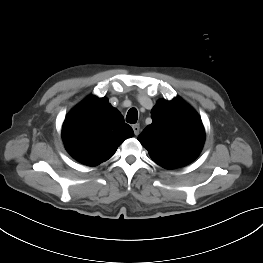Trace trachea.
Here are the masks:
<instances>
[{"label":"trachea","instance_id":"obj_1","mask_svg":"<svg viewBox=\"0 0 263 263\" xmlns=\"http://www.w3.org/2000/svg\"><path fill=\"white\" fill-rule=\"evenodd\" d=\"M137 119H138V111L136 108H131L128 113H127V116H126V121L128 123H131V124H134L137 122Z\"/></svg>","mask_w":263,"mask_h":263}]
</instances>
